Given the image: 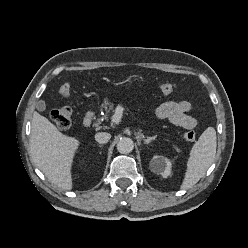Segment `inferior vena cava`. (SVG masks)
Here are the masks:
<instances>
[{"label":"inferior vena cava","instance_id":"1","mask_svg":"<svg viewBox=\"0 0 248 248\" xmlns=\"http://www.w3.org/2000/svg\"><path fill=\"white\" fill-rule=\"evenodd\" d=\"M111 138V135L107 132H99L95 135V140L100 144L107 143Z\"/></svg>","mask_w":248,"mask_h":248}]
</instances>
